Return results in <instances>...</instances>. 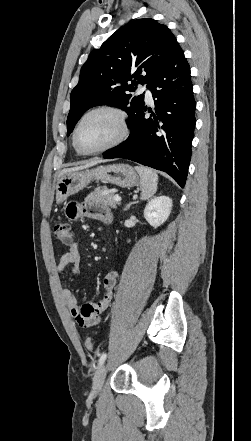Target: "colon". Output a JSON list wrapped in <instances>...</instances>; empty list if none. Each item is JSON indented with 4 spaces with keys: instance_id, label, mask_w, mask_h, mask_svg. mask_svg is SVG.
I'll list each match as a JSON object with an SVG mask.
<instances>
[{
    "instance_id": "obj_1",
    "label": "colon",
    "mask_w": 251,
    "mask_h": 441,
    "mask_svg": "<svg viewBox=\"0 0 251 441\" xmlns=\"http://www.w3.org/2000/svg\"><path fill=\"white\" fill-rule=\"evenodd\" d=\"M54 237L63 244H69L72 241V233L70 225L65 221H56L53 227ZM85 347L92 350L94 347V340L92 337H86Z\"/></svg>"
}]
</instances>
